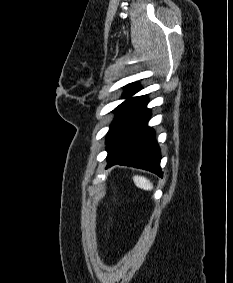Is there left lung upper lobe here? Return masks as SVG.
<instances>
[{"label":"left lung upper lobe","instance_id":"5c2ea615","mask_svg":"<svg viewBox=\"0 0 233 283\" xmlns=\"http://www.w3.org/2000/svg\"><path fill=\"white\" fill-rule=\"evenodd\" d=\"M140 90V87L136 84H130L125 91V94L123 95V98H128L125 100L122 104H120L115 110H116V116L113 121V123L110 126V130L108 133V137L110 134L114 131L120 120L126 115V113L135 105L137 100L140 97H131L136 92ZM131 97V98H129Z\"/></svg>","mask_w":233,"mask_h":283}]
</instances>
